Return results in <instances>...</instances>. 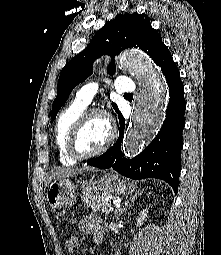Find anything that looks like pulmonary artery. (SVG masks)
<instances>
[{"mask_svg":"<svg viewBox=\"0 0 221 255\" xmlns=\"http://www.w3.org/2000/svg\"><path fill=\"white\" fill-rule=\"evenodd\" d=\"M115 83L116 90L119 93L132 94L135 92V83L125 75L117 76ZM97 92L98 83L88 82L76 91L73 102L77 105L87 107Z\"/></svg>","mask_w":221,"mask_h":255,"instance_id":"e3ab8cb5","label":"pulmonary artery"}]
</instances>
